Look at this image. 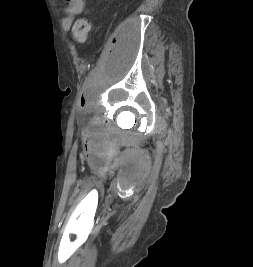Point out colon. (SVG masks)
<instances>
[{
	"label": "colon",
	"mask_w": 253,
	"mask_h": 267,
	"mask_svg": "<svg viewBox=\"0 0 253 267\" xmlns=\"http://www.w3.org/2000/svg\"><path fill=\"white\" fill-rule=\"evenodd\" d=\"M91 31V22L87 18L77 19L72 26L74 40L78 43H85Z\"/></svg>",
	"instance_id": "colon-1"
}]
</instances>
